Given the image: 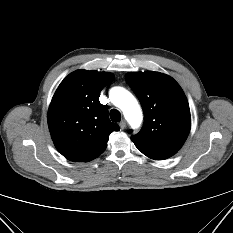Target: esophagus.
Masks as SVG:
<instances>
[{"label":"esophagus","instance_id":"esophagus-1","mask_svg":"<svg viewBox=\"0 0 233 233\" xmlns=\"http://www.w3.org/2000/svg\"><path fill=\"white\" fill-rule=\"evenodd\" d=\"M119 126H120V128L123 130V129H125V127H126V121L125 120H122L120 123H119Z\"/></svg>","mask_w":233,"mask_h":233}]
</instances>
